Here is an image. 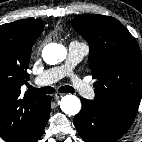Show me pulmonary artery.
Returning a JSON list of instances; mask_svg holds the SVG:
<instances>
[{
    "mask_svg": "<svg viewBox=\"0 0 142 142\" xmlns=\"http://www.w3.org/2000/svg\"><path fill=\"white\" fill-rule=\"evenodd\" d=\"M88 52L89 47L86 43L72 41L68 47V56L65 63L60 66L52 67L38 75L34 79L35 84L46 86L68 76L70 77L71 85L75 91L87 99H93L95 96L93 88L73 73L74 67Z\"/></svg>",
    "mask_w": 142,
    "mask_h": 142,
    "instance_id": "pulmonary-artery-1",
    "label": "pulmonary artery"
}]
</instances>
